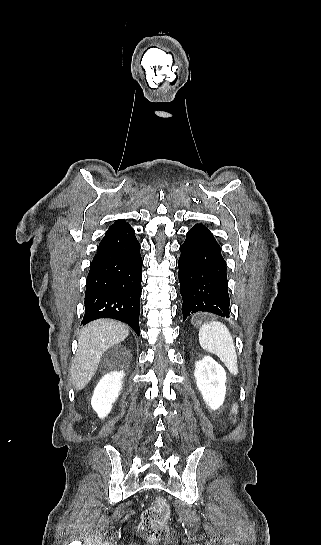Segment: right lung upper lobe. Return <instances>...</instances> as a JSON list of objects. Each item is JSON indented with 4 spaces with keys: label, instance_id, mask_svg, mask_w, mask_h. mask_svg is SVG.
Instances as JSON below:
<instances>
[{
    "label": "right lung upper lobe",
    "instance_id": "cb5924a9",
    "mask_svg": "<svg viewBox=\"0 0 321 545\" xmlns=\"http://www.w3.org/2000/svg\"><path fill=\"white\" fill-rule=\"evenodd\" d=\"M128 225L129 224L126 223L125 220L120 219V220H117L113 225H111L107 232L118 229V228H122V227H125V226H128Z\"/></svg>",
    "mask_w": 321,
    "mask_h": 545
}]
</instances>
